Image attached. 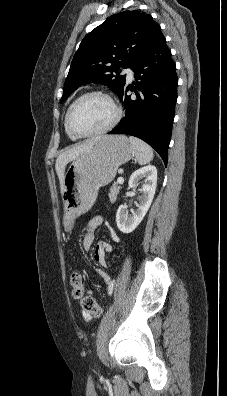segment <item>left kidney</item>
Returning <instances> with one entry per match:
<instances>
[{
  "mask_svg": "<svg viewBox=\"0 0 227 396\" xmlns=\"http://www.w3.org/2000/svg\"><path fill=\"white\" fill-rule=\"evenodd\" d=\"M142 179H144L145 184L140 189L141 196H139L137 209L135 211L132 210V214H128L127 206L124 204L117 210V227L121 232L126 234L131 233L141 223L152 203L157 184L156 167L148 165L133 172L129 178V187L133 188L137 186L138 181Z\"/></svg>",
  "mask_w": 227,
  "mask_h": 396,
  "instance_id": "5707ae66",
  "label": "left kidney"
}]
</instances>
